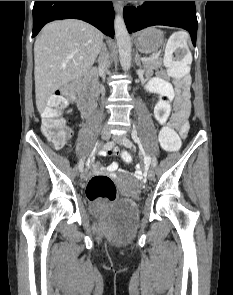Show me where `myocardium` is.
<instances>
[{
	"label": "myocardium",
	"mask_w": 233,
	"mask_h": 295,
	"mask_svg": "<svg viewBox=\"0 0 233 295\" xmlns=\"http://www.w3.org/2000/svg\"><path fill=\"white\" fill-rule=\"evenodd\" d=\"M134 2L141 3V2H145V1H134Z\"/></svg>",
	"instance_id": "obj_1"
}]
</instances>
